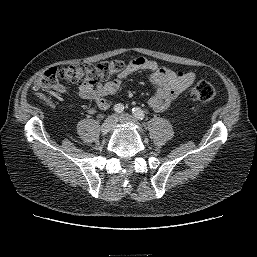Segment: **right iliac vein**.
I'll return each mask as SVG.
<instances>
[{"label":"right iliac vein","mask_w":257,"mask_h":257,"mask_svg":"<svg viewBox=\"0 0 257 257\" xmlns=\"http://www.w3.org/2000/svg\"><path fill=\"white\" fill-rule=\"evenodd\" d=\"M118 118L116 115H111L105 119L101 125V131L103 134L109 133L117 124Z\"/></svg>","instance_id":"1"}]
</instances>
